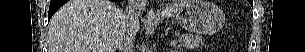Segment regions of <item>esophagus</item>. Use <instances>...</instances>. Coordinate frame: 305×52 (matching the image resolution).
I'll use <instances>...</instances> for the list:
<instances>
[{
    "label": "esophagus",
    "mask_w": 305,
    "mask_h": 52,
    "mask_svg": "<svg viewBox=\"0 0 305 52\" xmlns=\"http://www.w3.org/2000/svg\"><path fill=\"white\" fill-rule=\"evenodd\" d=\"M158 17V14L153 10V9H150L146 15V18L148 20H154Z\"/></svg>",
    "instance_id": "obj_1"
}]
</instances>
